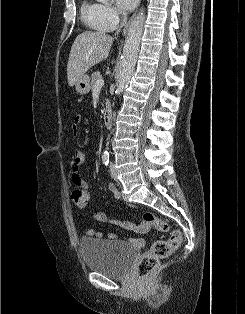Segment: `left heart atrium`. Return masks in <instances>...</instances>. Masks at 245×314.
I'll use <instances>...</instances> for the list:
<instances>
[{
  "label": "left heart atrium",
  "instance_id": "39dd6f15",
  "mask_svg": "<svg viewBox=\"0 0 245 314\" xmlns=\"http://www.w3.org/2000/svg\"><path fill=\"white\" fill-rule=\"evenodd\" d=\"M115 1H116L117 6L121 10L130 11L135 7L138 0H115Z\"/></svg>",
  "mask_w": 245,
  "mask_h": 314
}]
</instances>
